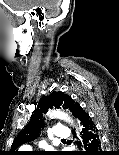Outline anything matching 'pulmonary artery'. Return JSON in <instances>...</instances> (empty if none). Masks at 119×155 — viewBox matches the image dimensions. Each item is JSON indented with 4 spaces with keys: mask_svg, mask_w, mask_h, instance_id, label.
Masks as SVG:
<instances>
[{
    "mask_svg": "<svg viewBox=\"0 0 119 155\" xmlns=\"http://www.w3.org/2000/svg\"><path fill=\"white\" fill-rule=\"evenodd\" d=\"M55 139L57 140H65L69 137L70 133L66 127H57L55 129Z\"/></svg>",
    "mask_w": 119,
    "mask_h": 155,
    "instance_id": "obj_1",
    "label": "pulmonary artery"
}]
</instances>
